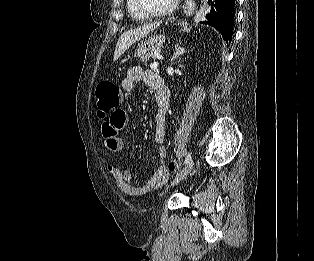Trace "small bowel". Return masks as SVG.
I'll list each match as a JSON object with an SVG mask.
<instances>
[{
	"mask_svg": "<svg viewBox=\"0 0 314 261\" xmlns=\"http://www.w3.org/2000/svg\"><path fill=\"white\" fill-rule=\"evenodd\" d=\"M143 80L148 86L156 88L159 81V75L146 71L140 66L131 67L122 81V88L125 92L131 93L135 84ZM126 109H113L109 113V119L102 124L101 135L105 140L106 151H121L123 149L122 135L126 123H128ZM166 130V115L160 111L154 118V135L153 140L158 145V162L159 167L155 173L142 185L136 186L132 183V173L130 170H122L115 164L108 165V171L115 179L120 190L128 196H141L152 189L159 187L169 176L166 165L167 151L164 147V137Z\"/></svg>",
	"mask_w": 314,
	"mask_h": 261,
	"instance_id": "small-bowel-1",
	"label": "small bowel"
}]
</instances>
